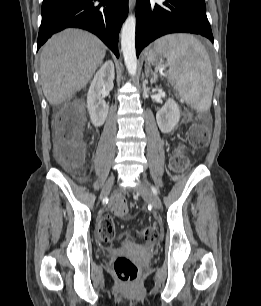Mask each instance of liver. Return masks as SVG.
Listing matches in <instances>:
<instances>
[{"label": "liver", "instance_id": "liver-1", "mask_svg": "<svg viewBox=\"0 0 261 306\" xmlns=\"http://www.w3.org/2000/svg\"><path fill=\"white\" fill-rule=\"evenodd\" d=\"M105 54L102 41L87 31L66 30L49 39L40 56L41 85L49 103L60 104L85 87Z\"/></svg>", "mask_w": 261, "mask_h": 306}]
</instances>
